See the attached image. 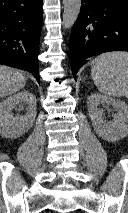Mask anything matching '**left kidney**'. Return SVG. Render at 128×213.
Here are the masks:
<instances>
[{"mask_svg":"<svg viewBox=\"0 0 128 213\" xmlns=\"http://www.w3.org/2000/svg\"><path fill=\"white\" fill-rule=\"evenodd\" d=\"M99 104L111 105L117 113L111 122L104 120V112ZM88 112L96 134L108 142H116L128 135V105L98 93L88 97Z\"/></svg>","mask_w":128,"mask_h":213,"instance_id":"left-kidney-1","label":"left kidney"}]
</instances>
